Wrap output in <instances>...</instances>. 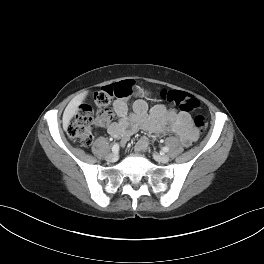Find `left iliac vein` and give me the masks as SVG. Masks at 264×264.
Here are the masks:
<instances>
[{
	"label": "left iliac vein",
	"mask_w": 264,
	"mask_h": 264,
	"mask_svg": "<svg viewBox=\"0 0 264 264\" xmlns=\"http://www.w3.org/2000/svg\"><path fill=\"white\" fill-rule=\"evenodd\" d=\"M153 158L160 163H167L169 161V156L161 155L159 153H154Z\"/></svg>",
	"instance_id": "1"
}]
</instances>
